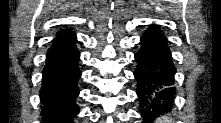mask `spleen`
I'll list each match as a JSON object with an SVG mask.
<instances>
[{
	"mask_svg": "<svg viewBox=\"0 0 221 123\" xmlns=\"http://www.w3.org/2000/svg\"><path fill=\"white\" fill-rule=\"evenodd\" d=\"M155 122L156 123H170V120L167 116H162L158 118Z\"/></svg>",
	"mask_w": 221,
	"mask_h": 123,
	"instance_id": "3e777b00",
	"label": "spleen"
}]
</instances>
